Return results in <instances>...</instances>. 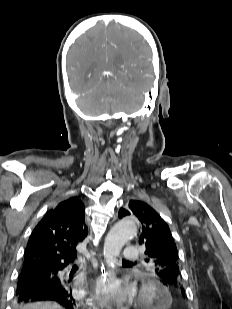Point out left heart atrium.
<instances>
[{
    "mask_svg": "<svg viewBox=\"0 0 232 309\" xmlns=\"http://www.w3.org/2000/svg\"><path fill=\"white\" fill-rule=\"evenodd\" d=\"M102 295L106 301L116 305H122L131 300L133 289L118 281L111 280L103 286Z\"/></svg>",
    "mask_w": 232,
    "mask_h": 309,
    "instance_id": "39dd6f15",
    "label": "left heart atrium"
}]
</instances>
